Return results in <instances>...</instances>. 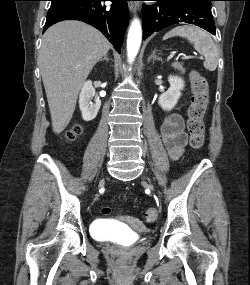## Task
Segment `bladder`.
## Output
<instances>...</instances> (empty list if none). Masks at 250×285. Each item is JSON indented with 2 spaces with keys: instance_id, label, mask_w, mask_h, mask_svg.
Listing matches in <instances>:
<instances>
[{
  "instance_id": "31cf9c89",
  "label": "bladder",
  "mask_w": 250,
  "mask_h": 285,
  "mask_svg": "<svg viewBox=\"0 0 250 285\" xmlns=\"http://www.w3.org/2000/svg\"><path fill=\"white\" fill-rule=\"evenodd\" d=\"M93 233L102 241L135 240V238L130 236L124 229L102 221L94 225Z\"/></svg>"
}]
</instances>
